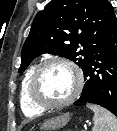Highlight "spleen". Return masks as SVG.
<instances>
[{"instance_id":"spleen-1","label":"spleen","mask_w":117,"mask_h":131,"mask_svg":"<svg viewBox=\"0 0 117 131\" xmlns=\"http://www.w3.org/2000/svg\"><path fill=\"white\" fill-rule=\"evenodd\" d=\"M94 112L93 131H117V118L105 108L94 104H87Z\"/></svg>"}]
</instances>
